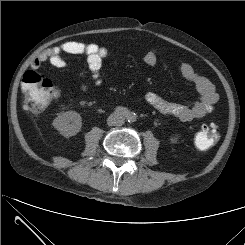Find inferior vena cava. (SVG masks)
<instances>
[{"label": "inferior vena cava", "mask_w": 245, "mask_h": 245, "mask_svg": "<svg viewBox=\"0 0 245 245\" xmlns=\"http://www.w3.org/2000/svg\"><path fill=\"white\" fill-rule=\"evenodd\" d=\"M124 123V118L119 114H113L108 119L110 126H121Z\"/></svg>", "instance_id": "602c4592"}]
</instances>
